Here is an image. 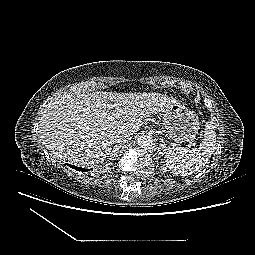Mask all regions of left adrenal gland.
I'll return each mask as SVG.
<instances>
[{
  "label": "left adrenal gland",
  "instance_id": "obj_1",
  "mask_svg": "<svg viewBox=\"0 0 255 255\" xmlns=\"http://www.w3.org/2000/svg\"><path fill=\"white\" fill-rule=\"evenodd\" d=\"M166 148V145L164 143V141L162 139H160V144H159V148H158V151H157V155L159 156L161 154V152H159L160 149H165Z\"/></svg>",
  "mask_w": 255,
  "mask_h": 255
}]
</instances>
